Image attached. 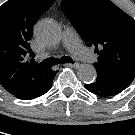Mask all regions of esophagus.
<instances>
[{
    "mask_svg": "<svg viewBox=\"0 0 135 135\" xmlns=\"http://www.w3.org/2000/svg\"><path fill=\"white\" fill-rule=\"evenodd\" d=\"M65 66L67 67H71V68H78L80 65L78 63H68V64H65Z\"/></svg>",
    "mask_w": 135,
    "mask_h": 135,
    "instance_id": "1",
    "label": "esophagus"
}]
</instances>
